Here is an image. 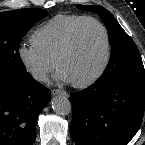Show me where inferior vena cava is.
<instances>
[{"mask_svg": "<svg viewBox=\"0 0 145 145\" xmlns=\"http://www.w3.org/2000/svg\"><path fill=\"white\" fill-rule=\"evenodd\" d=\"M33 76L36 79H40V80H46V78H47L46 75L43 72H34Z\"/></svg>", "mask_w": 145, "mask_h": 145, "instance_id": "obj_1", "label": "inferior vena cava"}]
</instances>
